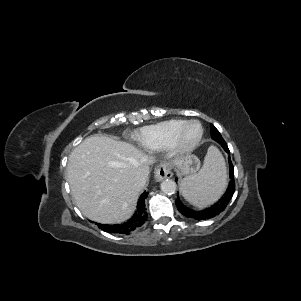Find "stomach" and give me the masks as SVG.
I'll list each match as a JSON object with an SVG mask.
<instances>
[{
	"instance_id": "stomach-1",
	"label": "stomach",
	"mask_w": 301,
	"mask_h": 301,
	"mask_svg": "<svg viewBox=\"0 0 301 301\" xmlns=\"http://www.w3.org/2000/svg\"><path fill=\"white\" fill-rule=\"evenodd\" d=\"M173 165L177 167L182 175L194 174L199 170L200 161L192 154H188L173 161Z\"/></svg>"
}]
</instances>
